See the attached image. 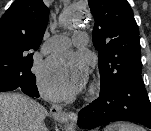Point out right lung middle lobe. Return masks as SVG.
<instances>
[{
  "label": "right lung middle lobe",
  "instance_id": "right-lung-middle-lobe-1",
  "mask_svg": "<svg viewBox=\"0 0 151 131\" xmlns=\"http://www.w3.org/2000/svg\"><path fill=\"white\" fill-rule=\"evenodd\" d=\"M32 63V55L26 52L0 53V75L13 82L34 77Z\"/></svg>",
  "mask_w": 151,
  "mask_h": 131
}]
</instances>
